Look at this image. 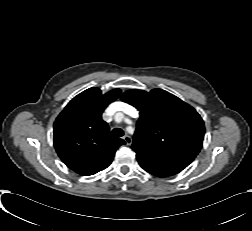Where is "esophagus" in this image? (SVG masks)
<instances>
[{
	"label": "esophagus",
	"mask_w": 252,
	"mask_h": 231,
	"mask_svg": "<svg viewBox=\"0 0 252 231\" xmlns=\"http://www.w3.org/2000/svg\"><path fill=\"white\" fill-rule=\"evenodd\" d=\"M124 141L126 142L127 145H131L132 143V138L128 135L123 136Z\"/></svg>",
	"instance_id": "esophagus-1"
}]
</instances>
